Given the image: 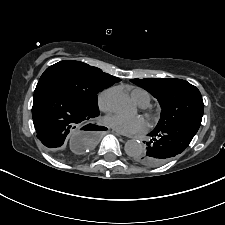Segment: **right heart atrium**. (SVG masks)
Segmentation results:
<instances>
[{"label": "right heart atrium", "mask_w": 225, "mask_h": 225, "mask_svg": "<svg viewBox=\"0 0 225 225\" xmlns=\"http://www.w3.org/2000/svg\"><path fill=\"white\" fill-rule=\"evenodd\" d=\"M114 94L113 88L103 90L97 98V105L103 112H110L112 110V97Z\"/></svg>", "instance_id": "obj_1"}]
</instances>
